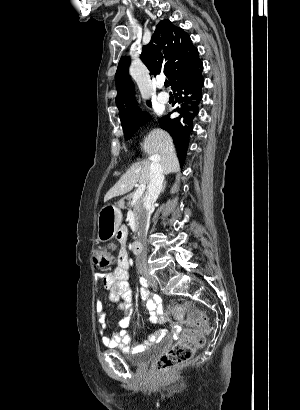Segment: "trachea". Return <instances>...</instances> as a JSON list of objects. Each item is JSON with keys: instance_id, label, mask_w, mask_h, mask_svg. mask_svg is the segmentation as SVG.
Wrapping results in <instances>:
<instances>
[{"instance_id": "trachea-1", "label": "trachea", "mask_w": 300, "mask_h": 410, "mask_svg": "<svg viewBox=\"0 0 300 410\" xmlns=\"http://www.w3.org/2000/svg\"><path fill=\"white\" fill-rule=\"evenodd\" d=\"M164 85H165V87H168V81L167 80L164 82Z\"/></svg>"}]
</instances>
